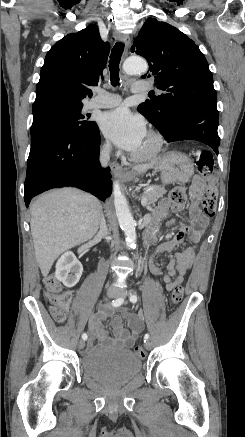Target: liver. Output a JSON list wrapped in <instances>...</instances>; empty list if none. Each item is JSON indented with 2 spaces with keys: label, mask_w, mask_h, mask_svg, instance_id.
I'll return each instance as SVG.
<instances>
[{
  "label": "liver",
  "mask_w": 245,
  "mask_h": 437,
  "mask_svg": "<svg viewBox=\"0 0 245 437\" xmlns=\"http://www.w3.org/2000/svg\"><path fill=\"white\" fill-rule=\"evenodd\" d=\"M152 165H139L142 174ZM30 228L41 273L46 277L60 254L90 240L98 231L102 206L91 194L75 188L53 190L30 207Z\"/></svg>",
  "instance_id": "obj_1"
}]
</instances>
